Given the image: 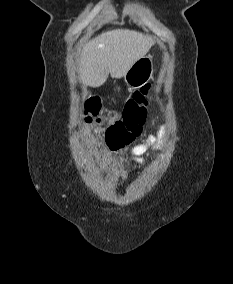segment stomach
<instances>
[{
    "label": "stomach",
    "instance_id": "1",
    "mask_svg": "<svg viewBox=\"0 0 233 284\" xmlns=\"http://www.w3.org/2000/svg\"><path fill=\"white\" fill-rule=\"evenodd\" d=\"M153 75L152 56H144L138 59L124 76L126 84L133 88H141L144 86Z\"/></svg>",
    "mask_w": 233,
    "mask_h": 284
}]
</instances>
